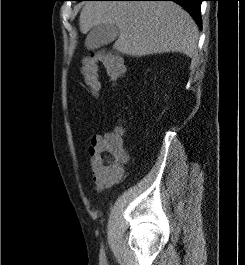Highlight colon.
<instances>
[{
    "instance_id": "colon-1",
    "label": "colon",
    "mask_w": 245,
    "mask_h": 265,
    "mask_svg": "<svg viewBox=\"0 0 245 265\" xmlns=\"http://www.w3.org/2000/svg\"><path fill=\"white\" fill-rule=\"evenodd\" d=\"M99 63H102L112 81H118L124 75L122 59L112 52L98 50L85 58L82 74L90 93L97 96L101 82L99 77ZM127 154L123 141V133L117 130L107 134L95 152L92 165L109 179H117L121 174V167Z\"/></svg>"
}]
</instances>
